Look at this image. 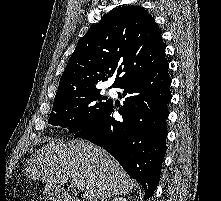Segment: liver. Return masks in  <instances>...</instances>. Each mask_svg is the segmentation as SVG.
I'll return each instance as SVG.
<instances>
[{"mask_svg":"<svg viewBox=\"0 0 221 201\" xmlns=\"http://www.w3.org/2000/svg\"><path fill=\"white\" fill-rule=\"evenodd\" d=\"M47 142L27 161L25 174L30 179L55 188L79 180L86 201L128 194L136 185L122 166L98 146L83 140Z\"/></svg>","mask_w":221,"mask_h":201,"instance_id":"liver-1","label":"liver"}]
</instances>
